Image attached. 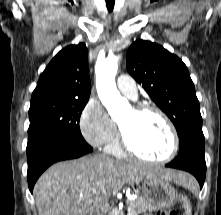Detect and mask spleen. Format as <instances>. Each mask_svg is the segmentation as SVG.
<instances>
[{"label": "spleen", "instance_id": "1", "mask_svg": "<svg viewBox=\"0 0 221 215\" xmlns=\"http://www.w3.org/2000/svg\"><path fill=\"white\" fill-rule=\"evenodd\" d=\"M183 201H184V206H185V210H186L185 212L187 215H190L191 214V207H190L189 202L187 201V198H184Z\"/></svg>", "mask_w": 221, "mask_h": 215}]
</instances>
